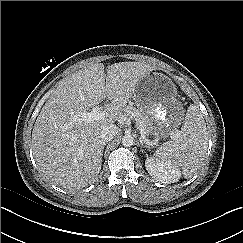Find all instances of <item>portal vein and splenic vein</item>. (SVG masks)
Segmentation results:
<instances>
[{
  "mask_svg": "<svg viewBox=\"0 0 243 243\" xmlns=\"http://www.w3.org/2000/svg\"><path fill=\"white\" fill-rule=\"evenodd\" d=\"M105 116V112L102 111L98 106L92 108L91 112H83L79 115V120L86 123H90L95 120H99Z\"/></svg>",
  "mask_w": 243,
  "mask_h": 243,
  "instance_id": "portal-vein-and-splenic-vein-1",
  "label": "portal vein and splenic vein"
}]
</instances>
